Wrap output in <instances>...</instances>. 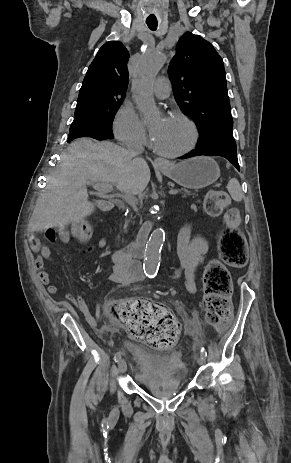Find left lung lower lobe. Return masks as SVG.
<instances>
[{
    "label": "left lung lower lobe",
    "instance_id": "1",
    "mask_svg": "<svg viewBox=\"0 0 291 463\" xmlns=\"http://www.w3.org/2000/svg\"><path fill=\"white\" fill-rule=\"evenodd\" d=\"M209 155V156H221L230 161L238 170L239 164L237 159V152L234 149L219 148V147H203L197 144V148L192 152L184 155L181 159H186L194 156Z\"/></svg>",
    "mask_w": 291,
    "mask_h": 463
}]
</instances>
